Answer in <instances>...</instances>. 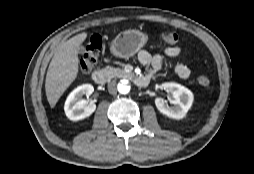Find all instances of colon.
Here are the masks:
<instances>
[{"label": "colon", "mask_w": 254, "mask_h": 174, "mask_svg": "<svg viewBox=\"0 0 254 174\" xmlns=\"http://www.w3.org/2000/svg\"><path fill=\"white\" fill-rule=\"evenodd\" d=\"M161 38L163 41L169 45H175L178 42V35L169 30H164L161 32ZM102 48V40L99 36L95 35L86 42L83 52L79 58V70L81 73L85 74L90 72L98 62V56ZM198 83L202 87H209L211 82L210 79L201 75L198 77Z\"/></svg>", "instance_id": "colon-1"}]
</instances>
